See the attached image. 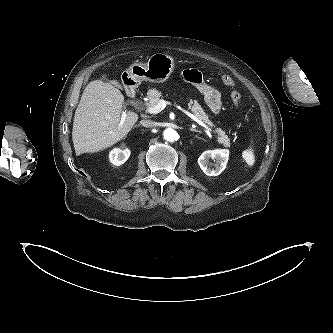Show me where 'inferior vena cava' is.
Wrapping results in <instances>:
<instances>
[{
  "label": "inferior vena cava",
  "mask_w": 333,
  "mask_h": 333,
  "mask_svg": "<svg viewBox=\"0 0 333 333\" xmlns=\"http://www.w3.org/2000/svg\"><path fill=\"white\" fill-rule=\"evenodd\" d=\"M140 123L142 126L147 127V128L155 126V122L152 120H149V119H143V120H141Z\"/></svg>",
  "instance_id": "1"
}]
</instances>
